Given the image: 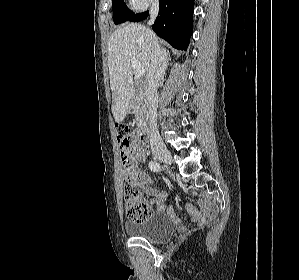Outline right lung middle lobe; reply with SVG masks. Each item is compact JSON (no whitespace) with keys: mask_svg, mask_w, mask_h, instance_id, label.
<instances>
[{"mask_svg":"<svg viewBox=\"0 0 299 280\" xmlns=\"http://www.w3.org/2000/svg\"><path fill=\"white\" fill-rule=\"evenodd\" d=\"M114 23L120 24L132 18L134 12H132L124 3V0H113L112 3Z\"/></svg>","mask_w":299,"mask_h":280,"instance_id":"1","label":"right lung middle lobe"}]
</instances>
